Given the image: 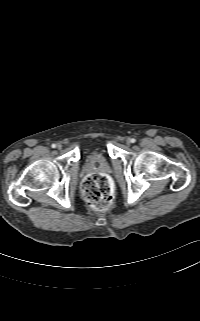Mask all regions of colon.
<instances>
[{
    "instance_id": "1",
    "label": "colon",
    "mask_w": 200,
    "mask_h": 321,
    "mask_svg": "<svg viewBox=\"0 0 200 321\" xmlns=\"http://www.w3.org/2000/svg\"><path fill=\"white\" fill-rule=\"evenodd\" d=\"M82 193L86 202L95 209H105L111 205L110 182L104 174L88 175L82 183Z\"/></svg>"
}]
</instances>
